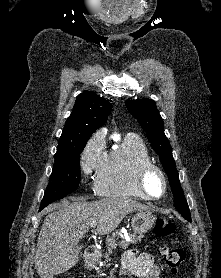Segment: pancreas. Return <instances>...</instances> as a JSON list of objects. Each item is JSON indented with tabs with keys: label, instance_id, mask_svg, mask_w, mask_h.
Masks as SVG:
<instances>
[{
	"label": "pancreas",
	"instance_id": "pancreas-1",
	"mask_svg": "<svg viewBox=\"0 0 221 278\" xmlns=\"http://www.w3.org/2000/svg\"><path fill=\"white\" fill-rule=\"evenodd\" d=\"M120 237V232L113 233L111 237H108L106 239L107 244V252L105 253V262L104 265H106V262H110L111 259L109 256L113 253V251L116 249L117 246L120 248L126 249L128 247V243L125 241L117 242V239ZM141 241V236H137L135 234L130 235V243L136 244L137 242Z\"/></svg>",
	"mask_w": 221,
	"mask_h": 278
}]
</instances>
